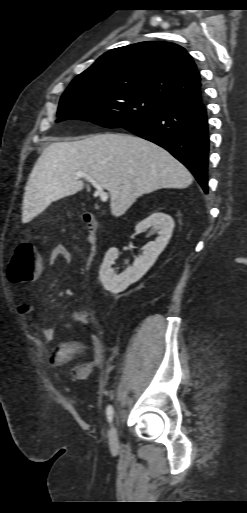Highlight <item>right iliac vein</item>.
I'll return each mask as SVG.
<instances>
[{"instance_id": "right-iliac-vein-1", "label": "right iliac vein", "mask_w": 247, "mask_h": 513, "mask_svg": "<svg viewBox=\"0 0 247 513\" xmlns=\"http://www.w3.org/2000/svg\"><path fill=\"white\" fill-rule=\"evenodd\" d=\"M109 446L112 453L117 452L119 448L118 434L115 423H112L111 428L109 430Z\"/></svg>"}]
</instances>
